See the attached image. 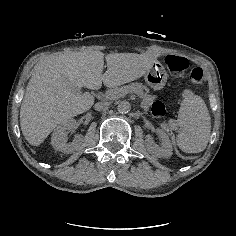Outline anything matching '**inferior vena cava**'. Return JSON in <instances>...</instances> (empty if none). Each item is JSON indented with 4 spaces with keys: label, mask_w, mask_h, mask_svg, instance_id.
Here are the masks:
<instances>
[{
    "label": "inferior vena cava",
    "mask_w": 236,
    "mask_h": 236,
    "mask_svg": "<svg viewBox=\"0 0 236 236\" xmlns=\"http://www.w3.org/2000/svg\"><path fill=\"white\" fill-rule=\"evenodd\" d=\"M110 104H111L110 102H99L95 105V110L97 111L107 110Z\"/></svg>",
    "instance_id": "obj_1"
}]
</instances>
